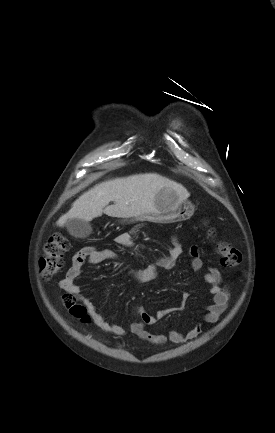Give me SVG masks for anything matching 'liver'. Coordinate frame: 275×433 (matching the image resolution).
Here are the masks:
<instances>
[{"mask_svg":"<svg viewBox=\"0 0 275 433\" xmlns=\"http://www.w3.org/2000/svg\"><path fill=\"white\" fill-rule=\"evenodd\" d=\"M168 188L184 201L190 193L181 184L156 173L132 175L102 182L81 195L71 209L57 221L64 226L69 219L91 221L105 213L118 218L138 217L156 212L155 196ZM113 201L114 205L108 206Z\"/></svg>","mask_w":275,"mask_h":433,"instance_id":"6515ba94","label":"liver"}]
</instances>
